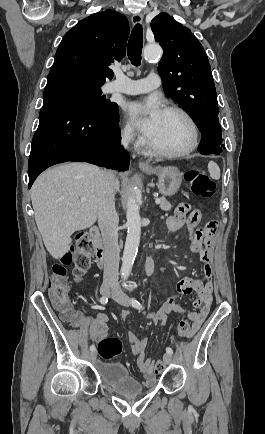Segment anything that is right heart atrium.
Here are the masks:
<instances>
[{"label":"right heart atrium","mask_w":265,"mask_h":434,"mask_svg":"<svg viewBox=\"0 0 265 434\" xmlns=\"http://www.w3.org/2000/svg\"><path fill=\"white\" fill-rule=\"evenodd\" d=\"M119 129L123 132H119L120 139H117L115 145L117 148H126L128 154H137L138 151L144 149L145 138L139 135V132H135V129L123 118L119 122Z\"/></svg>","instance_id":"obj_1"}]
</instances>
